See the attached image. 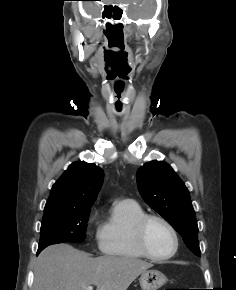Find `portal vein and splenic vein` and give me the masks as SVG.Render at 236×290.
Wrapping results in <instances>:
<instances>
[{
	"mask_svg": "<svg viewBox=\"0 0 236 290\" xmlns=\"http://www.w3.org/2000/svg\"><path fill=\"white\" fill-rule=\"evenodd\" d=\"M86 290H93V286H88Z\"/></svg>",
	"mask_w": 236,
	"mask_h": 290,
	"instance_id": "obj_1",
	"label": "portal vein and splenic vein"
}]
</instances>
